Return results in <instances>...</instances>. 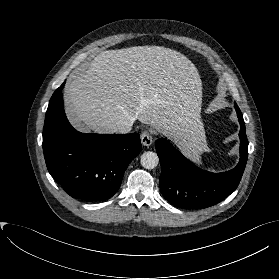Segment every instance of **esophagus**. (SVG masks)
Masks as SVG:
<instances>
[{"mask_svg":"<svg viewBox=\"0 0 279 279\" xmlns=\"http://www.w3.org/2000/svg\"><path fill=\"white\" fill-rule=\"evenodd\" d=\"M141 143L147 147L153 143V136L150 130H145L141 133Z\"/></svg>","mask_w":279,"mask_h":279,"instance_id":"34e87169","label":"esophagus"}]
</instances>
